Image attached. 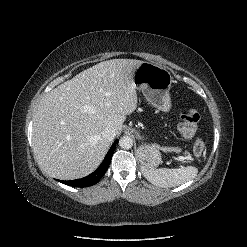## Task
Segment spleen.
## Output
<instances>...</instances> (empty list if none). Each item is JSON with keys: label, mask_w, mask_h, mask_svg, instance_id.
<instances>
[{"label": "spleen", "mask_w": 247, "mask_h": 247, "mask_svg": "<svg viewBox=\"0 0 247 247\" xmlns=\"http://www.w3.org/2000/svg\"><path fill=\"white\" fill-rule=\"evenodd\" d=\"M198 169L194 166L182 168L144 169V175L152 184L159 187H175L184 184L197 176Z\"/></svg>", "instance_id": "1"}]
</instances>
